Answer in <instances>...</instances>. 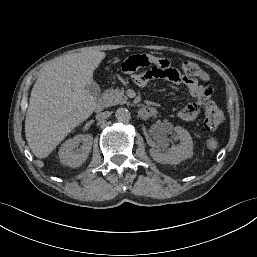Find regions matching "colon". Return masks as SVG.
Instances as JSON below:
<instances>
[{"instance_id":"colon-1","label":"colon","mask_w":257,"mask_h":257,"mask_svg":"<svg viewBox=\"0 0 257 257\" xmlns=\"http://www.w3.org/2000/svg\"><path fill=\"white\" fill-rule=\"evenodd\" d=\"M182 71H185L187 74L192 75L195 80L200 79L206 81L209 78L208 74L201 67L193 62H184L182 64ZM204 114L205 128L210 133H215L224 121L222 112L213 101H208L204 105Z\"/></svg>"}]
</instances>
